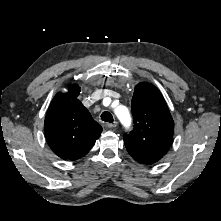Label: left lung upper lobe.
<instances>
[{"mask_svg":"<svg viewBox=\"0 0 221 221\" xmlns=\"http://www.w3.org/2000/svg\"><path fill=\"white\" fill-rule=\"evenodd\" d=\"M134 129L124 134L128 153L142 164L159 161L172 144L174 122L161 92L152 84L136 85L132 98Z\"/></svg>","mask_w":221,"mask_h":221,"instance_id":"5c2ea615","label":"left lung upper lobe"}]
</instances>
